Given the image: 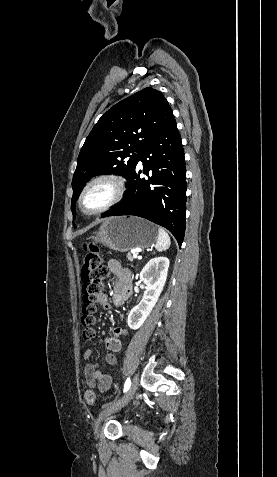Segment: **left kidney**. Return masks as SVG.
Here are the masks:
<instances>
[{"mask_svg": "<svg viewBox=\"0 0 277 477\" xmlns=\"http://www.w3.org/2000/svg\"><path fill=\"white\" fill-rule=\"evenodd\" d=\"M168 268L167 257H156L140 272V280L146 285V290L140 303L128 315L127 323L131 329H139L152 312L165 285Z\"/></svg>", "mask_w": 277, "mask_h": 477, "instance_id": "5707ae66", "label": "left kidney"}]
</instances>
